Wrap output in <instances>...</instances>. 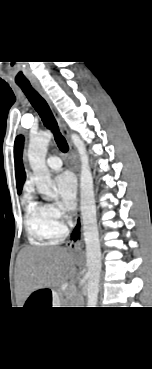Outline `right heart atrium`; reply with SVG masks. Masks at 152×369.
I'll return each mask as SVG.
<instances>
[{"label":"right heart atrium","instance_id":"right-heart-atrium-1","mask_svg":"<svg viewBox=\"0 0 152 369\" xmlns=\"http://www.w3.org/2000/svg\"><path fill=\"white\" fill-rule=\"evenodd\" d=\"M45 210L50 223L56 231H65L64 219L65 215L62 210L54 203L45 204Z\"/></svg>","mask_w":152,"mask_h":369}]
</instances>
